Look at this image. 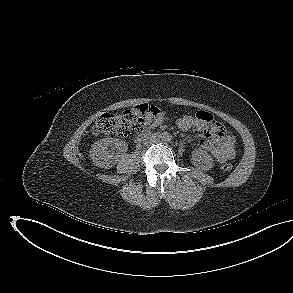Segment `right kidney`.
<instances>
[{
    "mask_svg": "<svg viewBox=\"0 0 293 293\" xmlns=\"http://www.w3.org/2000/svg\"><path fill=\"white\" fill-rule=\"evenodd\" d=\"M114 149L124 152L127 150V144L117 138L100 139L92 145L90 157L97 167L109 169L117 163Z\"/></svg>",
    "mask_w": 293,
    "mask_h": 293,
    "instance_id": "right-kidney-1",
    "label": "right kidney"
}]
</instances>
